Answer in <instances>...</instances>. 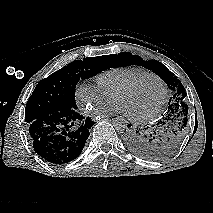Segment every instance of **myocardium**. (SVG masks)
<instances>
[{
    "label": "myocardium",
    "mask_w": 213,
    "mask_h": 213,
    "mask_svg": "<svg viewBox=\"0 0 213 213\" xmlns=\"http://www.w3.org/2000/svg\"><path fill=\"white\" fill-rule=\"evenodd\" d=\"M146 78H154L159 81L161 88H162V96H161L159 103L149 112H147L143 115H139V116H134V115L128 114L127 116L133 121L148 120V119L152 118L153 116H155L160 111V109L162 108V106L166 100V97H167V86H166L164 80L155 73L150 72V73L142 74V75H139V76L133 78L132 80H130L129 82H127L126 84H124L123 86L118 88L112 95V99L115 101V99L118 95L132 89L134 86H136L138 83H140L142 80H144Z\"/></svg>",
    "instance_id": "f54148a6"
}]
</instances>
